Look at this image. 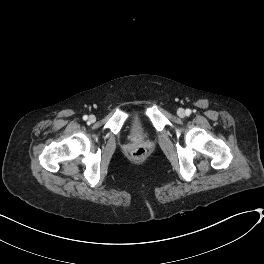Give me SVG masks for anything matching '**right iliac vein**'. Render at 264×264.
Masks as SVG:
<instances>
[{
	"label": "right iliac vein",
	"instance_id": "right-iliac-vein-1",
	"mask_svg": "<svg viewBox=\"0 0 264 264\" xmlns=\"http://www.w3.org/2000/svg\"><path fill=\"white\" fill-rule=\"evenodd\" d=\"M95 120H96V118H95L94 115H90V116H89V121H90V122L93 123V122H95Z\"/></svg>",
	"mask_w": 264,
	"mask_h": 264
}]
</instances>
